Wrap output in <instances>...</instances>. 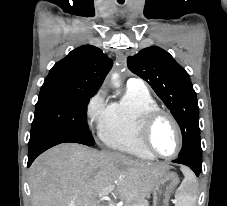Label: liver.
Returning <instances> with one entry per match:
<instances>
[{
    "instance_id": "1",
    "label": "liver",
    "mask_w": 227,
    "mask_h": 206,
    "mask_svg": "<svg viewBox=\"0 0 227 206\" xmlns=\"http://www.w3.org/2000/svg\"><path fill=\"white\" fill-rule=\"evenodd\" d=\"M169 169L163 163L134 160L117 152L60 144L40 155L30 167L32 206H96L98 197L113 191L130 204L148 196ZM111 186L112 191L100 195Z\"/></svg>"
}]
</instances>
